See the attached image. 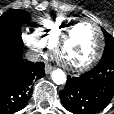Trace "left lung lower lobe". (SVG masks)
I'll use <instances>...</instances> for the list:
<instances>
[{"label":"left lung lower lobe","instance_id":"1","mask_svg":"<svg viewBox=\"0 0 114 114\" xmlns=\"http://www.w3.org/2000/svg\"><path fill=\"white\" fill-rule=\"evenodd\" d=\"M114 96V59L100 60L89 72L67 79L59 92L64 107L74 114H96Z\"/></svg>","mask_w":114,"mask_h":114}]
</instances>
